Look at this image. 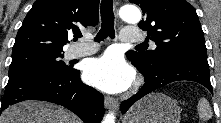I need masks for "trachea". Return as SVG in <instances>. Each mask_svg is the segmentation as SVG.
Instances as JSON below:
<instances>
[{"mask_svg":"<svg viewBox=\"0 0 221 123\" xmlns=\"http://www.w3.org/2000/svg\"><path fill=\"white\" fill-rule=\"evenodd\" d=\"M101 29L95 37L96 42L103 41L107 37L114 38V12H113V0H102L101 7ZM142 44L138 45L141 46Z\"/></svg>","mask_w":221,"mask_h":123,"instance_id":"3493384b","label":"trachea"}]
</instances>
